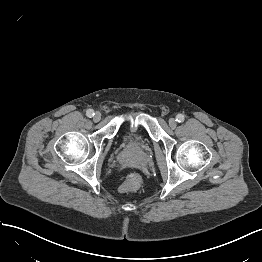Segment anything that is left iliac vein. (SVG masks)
Wrapping results in <instances>:
<instances>
[{
    "label": "left iliac vein",
    "mask_w": 262,
    "mask_h": 262,
    "mask_svg": "<svg viewBox=\"0 0 262 262\" xmlns=\"http://www.w3.org/2000/svg\"><path fill=\"white\" fill-rule=\"evenodd\" d=\"M169 126H170L172 129H174V128L177 126V122H176V120H175L174 118H171V119L169 120Z\"/></svg>",
    "instance_id": "obj_1"
}]
</instances>
